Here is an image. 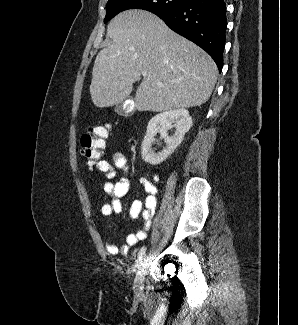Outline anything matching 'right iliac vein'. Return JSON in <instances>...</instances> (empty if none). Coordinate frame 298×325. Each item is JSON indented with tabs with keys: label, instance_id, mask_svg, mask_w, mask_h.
Masks as SVG:
<instances>
[{
	"label": "right iliac vein",
	"instance_id": "1",
	"mask_svg": "<svg viewBox=\"0 0 298 325\" xmlns=\"http://www.w3.org/2000/svg\"><path fill=\"white\" fill-rule=\"evenodd\" d=\"M145 266L146 262L145 259L140 262V265L138 267V271L134 280V290L136 294H141L143 292L144 287V274H145Z\"/></svg>",
	"mask_w": 298,
	"mask_h": 325
}]
</instances>
